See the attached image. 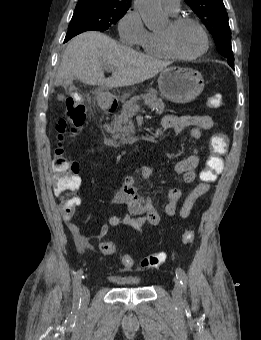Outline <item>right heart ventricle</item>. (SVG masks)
I'll return each mask as SVG.
<instances>
[{
    "mask_svg": "<svg viewBox=\"0 0 261 340\" xmlns=\"http://www.w3.org/2000/svg\"><path fill=\"white\" fill-rule=\"evenodd\" d=\"M139 45L149 56L157 58L169 57L161 44L159 33L148 32Z\"/></svg>",
    "mask_w": 261,
    "mask_h": 340,
    "instance_id": "right-heart-ventricle-1",
    "label": "right heart ventricle"
}]
</instances>
